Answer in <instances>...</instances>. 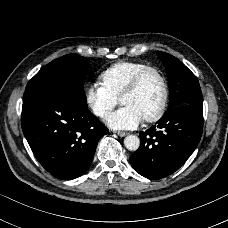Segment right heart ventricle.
Instances as JSON below:
<instances>
[{
  "mask_svg": "<svg viewBox=\"0 0 228 228\" xmlns=\"http://www.w3.org/2000/svg\"><path fill=\"white\" fill-rule=\"evenodd\" d=\"M147 66L149 65L146 63L134 61L114 63L101 72L102 85L111 95L119 99L133 77Z\"/></svg>",
  "mask_w": 228,
  "mask_h": 228,
  "instance_id": "obj_1",
  "label": "right heart ventricle"
}]
</instances>
